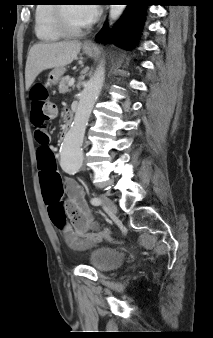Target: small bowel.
<instances>
[{
	"label": "small bowel",
	"mask_w": 213,
	"mask_h": 338,
	"mask_svg": "<svg viewBox=\"0 0 213 338\" xmlns=\"http://www.w3.org/2000/svg\"><path fill=\"white\" fill-rule=\"evenodd\" d=\"M68 113L67 111L66 114ZM38 168L44 203L47 205L49 213L52 205L59 202L61 188H65L68 196L65 211L72 222L70 224L64 221L58 226L64 234L67 244L71 247H83L102 240L104 236L100 231L89 232L90 229L95 228V224L85 202L82 187L74 180H61L55 159L50 154L46 157H39Z\"/></svg>",
	"instance_id": "c3829d8e"
}]
</instances>
